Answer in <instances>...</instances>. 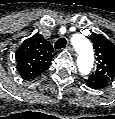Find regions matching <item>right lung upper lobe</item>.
Wrapping results in <instances>:
<instances>
[{
  "mask_svg": "<svg viewBox=\"0 0 115 119\" xmlns=\"http://www.w3.org/2000/svg\"><path fill=\"white\" fill-rule=\"evenodd\" d=\"M53 47L41 34L26 39L15 53L17 71L24 80H31L48 69Z\"/></svg>",
  "mask_w": 115,
  "mask_h": 119,
  "instance_id": "cb5924a9",
  "label": "right lung upper lobe"
}]
</instances>
